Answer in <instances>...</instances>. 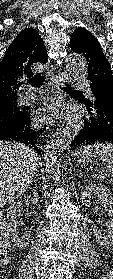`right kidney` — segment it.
Returning a JSON list of instances; mask_svg holds the SVG:
<instances>
[{"instance_id": "ca27d5eb", "label": "right kidney", "mask_w": 113, "mask_h": 279, "mask_svg": "<svg viewBox=\"0 0 113 279\" xmlns=\"http://www.w3.org/2000/svg\"><path fill=\"white\" fill-rule=\"evenodd\" d=\"M27 202L31 205H37L39 202V195L37 192H33L32 195L27 196ZM24 204L22 200H18L10 205L7 212V230L11 236L13 246L16 249H24L27 247L30 237L31 229L25 228L22 233L19 232L18 218L19 214L23 210Z\"/></svg>"}]
</instances>
